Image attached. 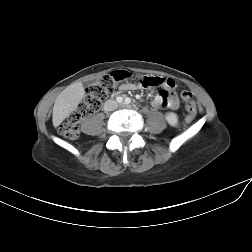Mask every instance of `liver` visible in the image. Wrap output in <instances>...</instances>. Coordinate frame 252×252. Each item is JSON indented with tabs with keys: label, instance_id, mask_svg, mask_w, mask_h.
Listing matches in <instances>:
<instances>
[{
	"label": "liver",
	"instance_id": "1",
	"mask_svg": "<svg viewBox=\"0 0 252 252\" xmlns=\"http://www.w3.org/2000/svg\"><path fill=\"white\" fill-rule=\"evenodd\" d=\"M85 91L81 82L73 83L64 89L56 98L53 107V125L59 126L79 105Z\"/></svg>",
	"mask_w": 252,
	"mask_h": 252
}]
</instances>
